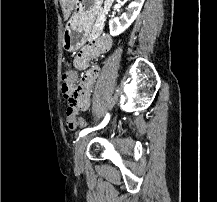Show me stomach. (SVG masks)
I'll use <instances>...</instances> for the list:
<instances>
[{
	"mask_svg": "<svg viewBox=\"0 0 217 202\" xmlns=\"http://www.w3.org/2000/svg\"><path fill=\"white\" fill-rule=\"evenodd\" d=\"M101 2L102 0H76L74 12L62 36V44L66 52H76L86 44Z\"/></svg>",
	"mask_w": 217,
	"mask_h": 202,
	"instance_id": "0dacf381",
	"label": "stomach"
}]
</instances>
